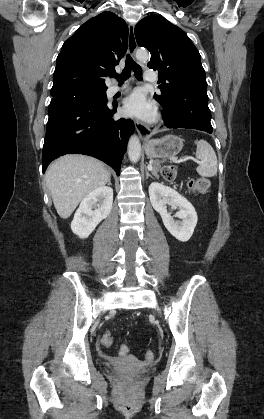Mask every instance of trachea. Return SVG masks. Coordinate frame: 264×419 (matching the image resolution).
Segmentation results:
<instances>
[{
    "mask_svg": "<svg viewBox=\"0 0 264 419\" xmlns=\"http://www.w3.org/2000/svg\"><path fill=\"white\" fill-rule=\"evenodd\" d=\"M132 69L135 73V77L138 80H142V68L136 62L133 61V59L130 57V55H127V57H126V65H125L121 75L113 74V76L121 84V83H123L124 80H126L130 77Z\"/></svg>",
    "mask_w": 264,
    "mask_h": 419,
    "instance_id": "1",
    "label": "trachea"
}]
</instances>
